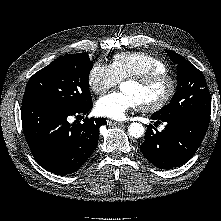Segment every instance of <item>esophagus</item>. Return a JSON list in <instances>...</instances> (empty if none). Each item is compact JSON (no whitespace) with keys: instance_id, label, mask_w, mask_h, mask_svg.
I'll return each instance as SVG.
<instances>
[{"instance_id":"34e87169","label":"esophagus","mask_w":221,"mask_h":221,"mask_svg":"<svg viewBox=\"0 0 221 221\" xmlns=\"http://www.w3.org/2000/svg\"><path fill=\"white\" fill-rule=\"evenodd\" d=\"M107 124L108 125H123V122H118V121H114V120H107Z\"/></svg>"}]
</instances>
